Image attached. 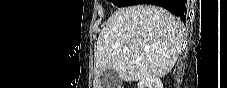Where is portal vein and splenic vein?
<instances>
[{
	"label": "portal vein and splenic vein",
	"mask_w": 227,
	"mask_h": 88,
	"mask_svg": "<svg viewBox=\"0 0 227 88\" xmlns=\"http://www.w3.org/2000/svg\"><path fill=\"white\" fill-rule=\"evenodd\" d=\"M123 52H124V53H128L129 50H128V49H123Z\"/></svg>",
	"instance_id": "1"
}]
</instances>
